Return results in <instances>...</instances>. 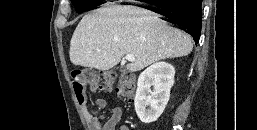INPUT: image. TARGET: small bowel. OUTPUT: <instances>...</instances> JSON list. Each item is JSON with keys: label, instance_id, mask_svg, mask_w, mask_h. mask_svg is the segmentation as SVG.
<instances>
[{"label": "small bowel", "instance_id": "obj_1", "mask_svg": "<svg viewBox=\"0 0 257 130\" xmlns=\"http://www.w3.org/2000/svg\"><path fill=\"white\" fill-rule=\"evenodd\" d=\"M78 103L89 130H130L126 126L118 127L123 114L120 107H114L111 116L107 120L102 121L100 118L90 113L86 97L83 100H78ZM97 104L100 108H104L106 101L104 99H98Z\"/></svg>", "mask_w": 257, "mask_h": 130}]
</instances>
